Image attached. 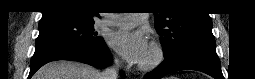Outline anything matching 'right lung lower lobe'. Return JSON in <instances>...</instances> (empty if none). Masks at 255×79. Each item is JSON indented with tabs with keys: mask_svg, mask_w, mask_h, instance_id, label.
Listing matches in <instances>:
<instances>
[{
	"mask_svg": "<svg viewBox=\"0 0 255 79\" xmlns=\"http://www.w3.org/2000/svg\"><path fill=\"white\" fill-rule=\"evenodd\" d=\"M55 60H73L95 67H103L110 63L111 54L104 40L95 45H73L67 43H46L36 46L30 63L31 78L44 64Z\"/></svg>",
	"mask_w": 255,
	"mask_h": 79,
	"instance_id": "obj_1",
	"label": "right lung lower lobe"
}]
</instances>
